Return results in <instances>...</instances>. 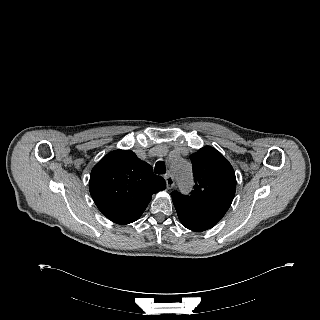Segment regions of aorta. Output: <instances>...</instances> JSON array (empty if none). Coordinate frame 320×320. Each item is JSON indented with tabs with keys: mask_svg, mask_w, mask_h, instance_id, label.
I'll use <instances>...</instances> for the list:
<instances>
[{
	"mask_svg": "<svg viewBox=\"0 0 320 320\" xmlns=\"http://www.w3.org/2000/svg\"><path fill=\"white\" fill-rule=\"evenodd\" d=\"M170 167L179 187L187 191L192 186V168L188 161L181 157L170 159Z\"/></svg>",
	"mask_w": 320,
	"mask_h": 320,
	"instance_id": "1",
	"label": "aorta"
}]
</instances>
